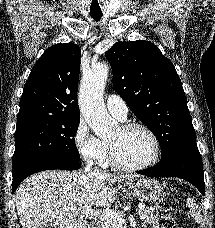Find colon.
<instances>
[{
	"label": "colon",
	"mask_w": 215,
	"mask_h": 228,
	"mask_svg": "<svg viewBox=\"0 0 215 228\" xmlns=\"http://www.w3.org/2000/svg\"><path fill=\"white\" fill-rule=\"evenodd\" d=\"M177 208V202L173 194H165L158 205L159 218L157 228H175V222L172 218L164 215L165 212L174 211Z\"/></svg>",
	"instance_id": "obj_1"
}]
</instances>
